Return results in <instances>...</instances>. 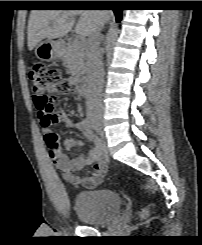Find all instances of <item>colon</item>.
<instances>
[{
    "label": "colon",
    "mask_w": 202,
    "mask_h": 245,
    "mask_svg": "<svg viewBox=\"0 0 202 245\" xmlns=\"http://www.w3.org/2000/svg\"><path fill=\"white\" fill-rule=\"evenodd\" d=\"M28 76L32 82V97L37 109L40 121L45 125H53L58 122L54 113L53 99L49 95L50 91L71 92L70 84L63 78L62 72L58 69H48L42 64H32L29 68ZM59 146L55 143L49 148L50 156L57 155ZM149 215L148 208L140 210V217Z\"/></svg>",
    "instance_id": "colon-1"
}]
</instances>
